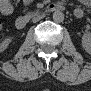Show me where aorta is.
<instances>
[{"label":"aorta","mask_w":91,"mask_h":91,"mask_svg":"<svg viewBox=\"0 0 91 91\" xmlns=\"http://www.w3.org/2000/svg\"><path fill=\"white\" fill-rule=\"evenodd\" d=\"M53 20L57 23H61L64 21V14L61 11H55L53 13Z\"/></svg>","instance_id":"obj_1"}]
</instances>
